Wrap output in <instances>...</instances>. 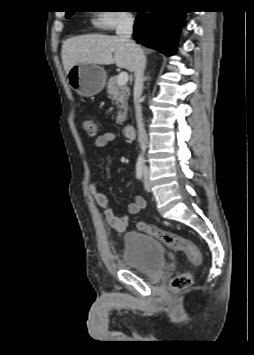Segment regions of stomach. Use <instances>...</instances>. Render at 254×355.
<instances>
[{"instance_id":"obj_1","label":"stomach","mask_w":254,"mask_h":355,"mask_svg":"<svg viewBox=\"0 0 254 355\" xmlns=\"http://www.w3.org/2000/svg\"><path fill=\"white\" fill-rule=\"evenodd\" d=\"M106 72L103 67L93 63H80L67 73L70 87L83 97L99 93L105 86Z\"/></svg>"}]
</instances>
